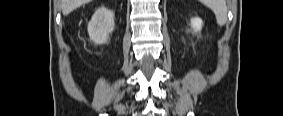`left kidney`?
Here are the masks:
<instances>
[{"mask_svg": "<svg viewBox=\"0 0 283 116\" xmlns=\"http://www.w3.org/2000/svg\"><path fill=\"white\" fill-rule=\"evenodd\" d=\"M202 20L199 17L191 19V26L195 31H200L202 28Z\"/></svg>", "mask_w": 283, "mask_h": 116, "instance_id": "left-kidney-1", "label": "left kidney"}]
</instances>
